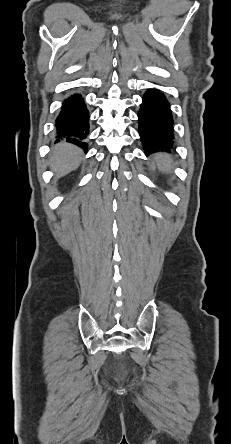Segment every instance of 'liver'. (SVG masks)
I'll use <instances>...</instances> for the list:
<instances>
[{"instance_id": "liver-1", "label": "liver", "mask_w": 231, "mask_h": 444, "mask_svg": "<svg viewBox=\"0 0 231 444\" xmlns=\"http://www.w3.org/2000/svg\"><path fill=\"white\" fill-rule=\"evenodd\" d=\"M81 159L82 151L78 147L66 142L55 145L50 155V161L56 178H60L78 168Z\"/></svg>"}]
</instances>
